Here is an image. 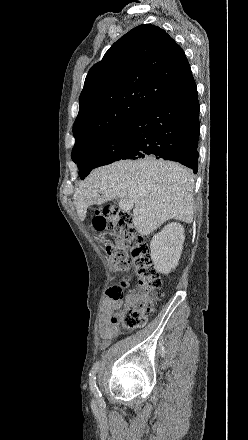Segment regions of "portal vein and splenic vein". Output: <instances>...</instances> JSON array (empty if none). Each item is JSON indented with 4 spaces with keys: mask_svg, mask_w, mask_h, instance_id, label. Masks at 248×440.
<instances>
[{
    "mask_svg": "<svg viewBox=\"0 0 248 440\" xmlns=\"http://www.w3.org/2000/svg\"><path fill=\"white\" fill-rule=\"evenodd\" d=\"M119 207L124 211H129L133 208V202L126 199H120Z\"/></svg>",
    "mask_w": 248,
    "mask_h": 440,
    "instance_id": "1",
    "label": "portal vein and splenic vein"
}]
</instances>
